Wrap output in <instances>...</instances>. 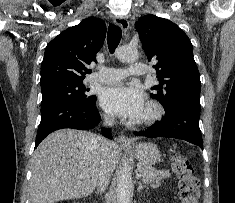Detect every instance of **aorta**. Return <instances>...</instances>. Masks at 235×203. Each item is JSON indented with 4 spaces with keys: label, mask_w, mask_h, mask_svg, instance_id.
Masks as SVG:
<instances>
[{
    "label": "aorta",
    "mask_w": 235,
    "mask_h": 203,
    "mask_svg": "<svg viewBox=\"0 0 235 203\" xmlns=\"http://www.w3.org/2000/svg\"><path fill=\"white\" fill-rule=\"evenodd\" d=\"M116 57L122 62H134L138 59L139 54L135 48L129 46L119 47L116 52ZM132 192V175L131 167L127 164L123 166L117 182L116 194L117 203H129Z\"/></svg>",
    "instance_id": "obj_1"
}]
</instances>
